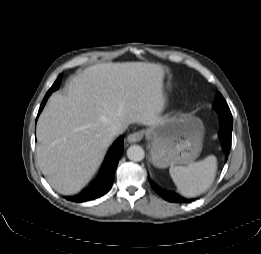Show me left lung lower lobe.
<instances>
[{"label":"left lung lower lobe","instance_id":"0a47b994","mask_svg":"<svg viewBox=\"0 0 261 254\" xmlns=\"http://www.w3.org/2000/svg\"><path fill=\"white\" fill-rule=\"evenodd\" d=\"M220 118H221V131H220V137L223 139V148L226 152V157L225 159L227 160L228 158V154L230 151V147H231V134H232V125H233V118L232 115H224V114H219ZM151 186L153 187V189L165 200L170 201V202H179V203H187L190 202V199H186L183 198L177 194L174 193H167V192H163L158 190L154 184L151 182V180L149 179Z\"/></svg>","mask_w":261,"mask_h":254}]
</instances>
